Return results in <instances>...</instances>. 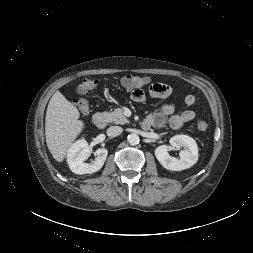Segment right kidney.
Wrapping results in <instances>:
<instances>
[{
    "label": "right kidney",
    "mask_w": 253,
    "mask_h": 253,
    "mask_svg": "<svg viewBox=\"0 0 253 253\" xmlns=\"http://www.w3.org/2000/svg\"><path fill=\"white\" fill-rule=\"evenodd\" d=\"M96 159L88 164L84 161L91 155V149L84 140H78L68 150L67 163L70 170L79 175L92 174L99 171L107 158L108 151L105 148H99L95 151Z\"/></svg>",
    "instance_id": "1"
}]
</instances>
